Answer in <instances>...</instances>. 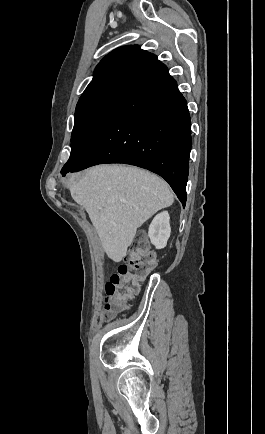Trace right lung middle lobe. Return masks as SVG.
I'll use <instances>...</instances> for the list:
<instances>
[{"label": "right lung middle lobe", "instance_id": "obj_1", "mask_svg": "<svg viewBox=\"0 0 265 434\" xmlns=\"http://www.w3.org/2000/svg\"><path fill=\"white\" fill-rule=\"evenodd\" d=\"M133 77L130 74H119L87 86L76 106L71 154L62 170L75 166L85 155Z\"/></svg>", "mask_w": 265, "mask_h": 434}]
</instances>
